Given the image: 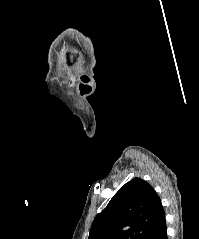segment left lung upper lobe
Listing matches in <instances>:
<instances>
[{
    "instance_id": "1",
    "label": "left lung upper lobe",
    "mask_w": 199,
    "mask_h": 239,
    "mask_svg": "<svg viewBox=\"0 0 199 239\" xmlns=\"http://www.w3.org/2000/svg\"><path fill=\"white\" fill-rule=\"evenodd\" d=\"M162 212L160 198L153 187L134 178L95 217L88 239H148Z\"/></svg>"
}]
</instances>
